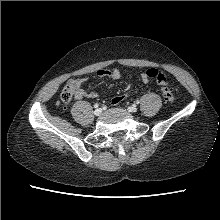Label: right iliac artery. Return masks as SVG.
Here are the masks:
<instances>
[{
  "instance_id": "82829eb1",
  "label": "right iliac artery",
  "mask_w": 220,
  "mask_h": 220,
  "mask_svg": "<svg viewBox=\"0 0 220 220\" xmlns=\"http://www.w3.org/2000/svg\"><path fill=\"white\" fill-rule=\"evenodd\" d=\"M98 106H99L98 104H95V105H94L95 108H98Z\"/></svg>"
}]
</instances>
